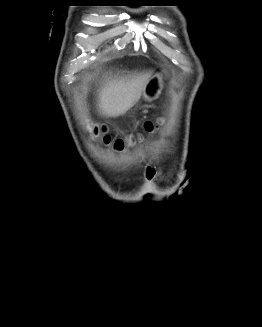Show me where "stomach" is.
Returning <instances> with one entry per match:
<instances>
[{"label": "stomach", "mask_w": 262, "mask_h": 327, "mask_svg": "<svg viewBox=\"0 0 262 327\" xmlns=\"http://www.w3.org/2000/svg\"><path fill=\"white\" fill-rule=\"evenodd\" d=\"M161 89L162 77L160 75H156L148 81L143 93L144 98L146 100H152L156 98L160 94Z\"/></svg>", "instance_id": "0dacf381"}]
</instances>
